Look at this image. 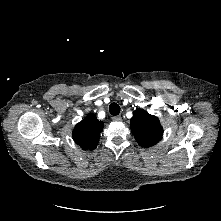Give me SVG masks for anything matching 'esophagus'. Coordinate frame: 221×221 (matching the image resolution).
Wrapping results in <instances>:
<instances>
[{
  "label": "esophagus",
  "instance_id": "34e87169",
  "mask_svg": "<svg viewBox=\"0 0 221 221\" xmlns=\"http://www.w3.org/2000/svg\"><path fill=\"white\" fill-rule=\"evenodd\" d=\"M112 120H113V121H117V122H119V121L122 120V117H121L120 115H118V116H114V117H112Z\"/></svg>",
  "mask_w": 221,
  "mask_h": 221
}]
</instances>
